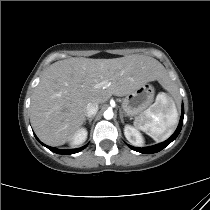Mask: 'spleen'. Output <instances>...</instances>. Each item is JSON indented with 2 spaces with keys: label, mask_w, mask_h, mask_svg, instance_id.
I'll use <instances>...</instances> for the list:
<instances>
[{
  "label": "spleen",
  "mask_w": 210,
  "mask_h": 210,
  "mask_svg": "<svg viewBox=\"0 0 210 210\" xmlns=\"http://www.w3.org/2000/svg\"><path fill=\"white\" fill-rule=\"evenodd\" d=\"M168 91L173 92V86L166 81ZM178 123V113L171 96L164 92L156 96L152 104L142 115L137 117L134 125L152 137L155 141H163L169 138Z\"/></svg>",
  "instance_id": "3e777b00"
}]
</instances>
